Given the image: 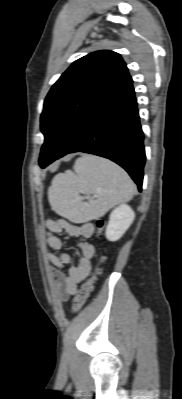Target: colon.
Returning <instances> with one entry per match:
<instances>
[{
	"mask_svg": "<svg viewBox=\"0 0 182 399\" xmlns=\"http://www.w3.org/2000/svg\"><path fill=\"white\" fill-rule=\"evenodd\" d=\"M96 225H97L98 229L101 230L103 227V221L97 220ZM104 260H105V257L103 255H101L97 261V265L94 269L93 274L81 285L80 289L78 290L76 297L74 299L73 305H72V310L74 312L80 310L86 303V301L93 289V284L96 280V277L101 271V265L103 264Z\"/></svg>",
	"mask_w": 182,
	"mask_h": 399,
	"instance_id": "colon-1",
	"label": "colon"
}]
</instances>
